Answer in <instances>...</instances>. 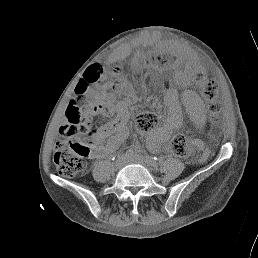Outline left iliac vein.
Instances as JSON below:
<instances>
[{"instance_id":"1","label":"left iliac vein","mask_w":258,"mask_h":258,"mask_svg":"<svg viewBox=\"0 0 258 258\" xmlns=\"http://www.w3.org/2000/svg\"><path fill=\"white\" fill-rule=\"evenodd\" d=\"M135 162H138V163H140V164H142V165H145V164H146L145 160H144L142 157H140V156H137V157L135 158Z\"/></svg>"}]
</instances>
